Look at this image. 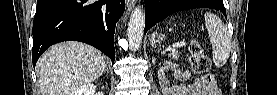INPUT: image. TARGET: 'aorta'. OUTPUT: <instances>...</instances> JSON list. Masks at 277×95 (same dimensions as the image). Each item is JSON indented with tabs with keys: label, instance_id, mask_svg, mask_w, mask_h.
Masks as SVG:
<instances>
[{
	"label": "aorta",
	"instance_id": "aorta-1",
	"mask_svg": "<svg viewBox=\"0 0 277 95\" xmlns=\"http://www.w3.org/2000/svg\"><path fill=\"white\" fill-rule=\"evenodd\" d=\"M145 27V15L142 7L137 6L130 16L127 28V40L131 50H138L141 46Z\"/></svg>",
	"mask_w": 277,
	"mask_h": 95
}]
</instances>
